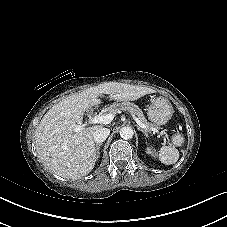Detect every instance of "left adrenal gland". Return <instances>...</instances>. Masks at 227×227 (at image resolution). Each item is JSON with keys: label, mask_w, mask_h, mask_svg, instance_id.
Here are the masks:
<instances>
[{"label": "left adrenal gland", "mask_w": 227, "mask_h": 227, "mask_svg": "<svg viewBox=\"0 0 227 227\" xmlns=\"http://www.w3.org/2000/svg\"><path fill=\"white\" fill-rule=\"evenodd\" d=\"M138 130L141 131V132H143L147 138L149 137V134H148V131L147 130L142 129L140 127H138Z\"/></svg>", "instance_id": "obj_1"}]
</instances>
